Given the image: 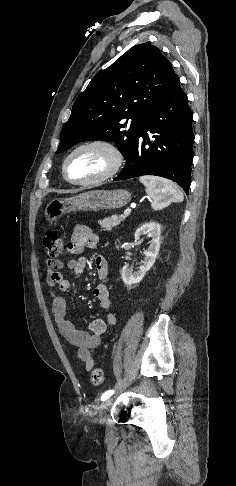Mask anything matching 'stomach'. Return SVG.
I'll return each mask as SVG.
<instances>
[{
	"label": "stomach",
	"mask_w": 236,
	"mask_h": 486,
	"mask_svg": "<svg viewBox=\"0 0 236 486\" xmlns=\"http://www.w3.org/2000/svg\"><path fill=\"white\" fill-rule=\"evenodd\" d=\"M131 193L125 189L91 190L68 199H53L45 207L44 216L50 223L56 222L72 211H100L117 209L127 205Z\"/></svg>",
	"instance_id": "obj_1"
}]
</instances>
